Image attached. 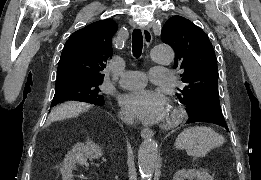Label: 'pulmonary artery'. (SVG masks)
<instances>
[{
	"mask_svg": "<svg viewBox=\"0 0 261 180\" xmlns=\"http://www.w3.org/2000/svg\"><path fill=\"white\" fill-rule=\"evenodd\" d=\"M169 67H156L151 69L148 74L140 71H125L121 75L119 82L122 87L141 88L147 79L153 80L155 83H170L171 72Z\"/></svg>",
	"mask_w": 261,
	"mask_h": 180,
	"instance_id": "pulmonary-artery-1",
	"label": "pulmonary artery"
}]
</instances>
